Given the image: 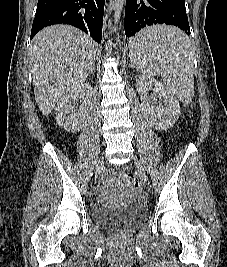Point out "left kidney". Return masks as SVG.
<instances>
[{
    "mask_svg": "<svg viewBox=\"0 0 227 267\" xmlns=\"http://www.w3.org/2000/svg\"><path fill=\"white\" fill-rule=\"evenodd\" d=\"M137 91L147 112L149 123L156 130H167L171 128L180 114V105L172 92L161 82L153 77H141L136 79ZM154 86L158 97L163 99V104L153 106L149 104V90Z\"/></svg>",
    "mask_w": 227,
    "mask_h": 267,
    "instance_id": "obj_1",
    "label": "left kidney"
}]
</instances>
